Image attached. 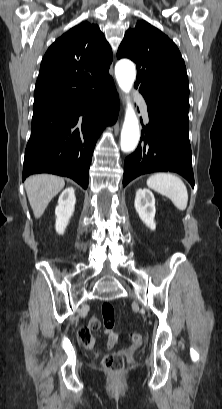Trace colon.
Segmentation results:
<instances>
[{"label":"colon","instance_id":"colon-1","mask_svg":"<svg viewBox=\"0 0 222 409\" xmlns=\"http://www.w3.org/2000/svg\"><path fill=\"white\" fill-rule=\"evenodd\" d=\"M101 313L106 329H112L115 323V312L111 303L105 302L101 307ZM80 339L85 342L90 338V334L86 327H82L78 331ZM131 339L134 343H141L142 337L139 333H133ZM103 366L106 370L112 373H119L124 369L125 360L121 354H108L103 357Z\"/></svg>","mask_w":222,"mask_h":409}]
</instances>
